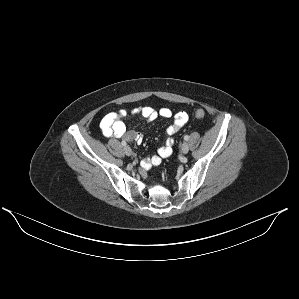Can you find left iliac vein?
<instances>
[{
    "instance_id": "4c4485c4",
    "label": "left iliac vein",
    "mask_w": 299,
    "mask_h": 299,
    "mask_svg": "<svg viewBox=\"0 0 299 299\" xmlns=\"http://www.w3.org/2000/svg\"><path fill=\"white\" fill-rule=\"evenodd\" d=\"M188 151H189V145H188V143L184 142L181 146V152L183 154H186V153H188Z\"/></svg>"
}]
</instances>
